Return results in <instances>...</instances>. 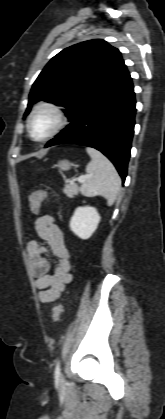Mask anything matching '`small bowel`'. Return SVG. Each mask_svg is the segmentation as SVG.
Masks as SVG:
<instances>
[{
	"label": "small bowel",
	"instance_id": "small-bowel-1",
	"mask_svg": "<svg viewBox=\"0 0 165 419\" xmlns=\"http://www.w3.org/2000/svg\"><path fill=\"white\" fill-rule=\"evenodd\" d=\"M35 231L39 239L31 240L27 245V254L32 266L36 288L42 303L57 300L66 286L72 281L71 255L65 245L64 235L51 215H43L35 221ZM44 241L57 261L52 273L47 259L48 250Z\"/></svg>",
	"mask_w": 165,
	"mask_h": 419
}]
</instances>
